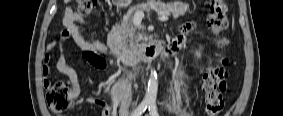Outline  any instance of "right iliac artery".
I'll use <instances>...</instances> for the list:
<instances>
[{
    "label": "right iliac artery",
    "instance_id": "82829eb1",
    "mask_svg": "<svg viewBox=\"0 0 283 116\" xmlns=\"http://www.w3.org/2000/svg\"><path fill=\"white\" fill-rule=\"evenodd\" d=\"M148 107L147 102H142L137 109L133 112L132 116H140Z\"/></svg>",
    "mask_w": 283,
    "mask_h": 116
}]
</instances>
